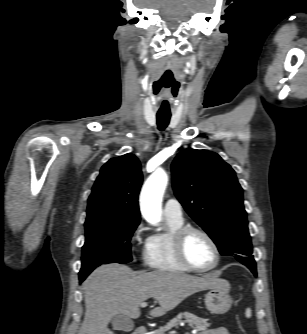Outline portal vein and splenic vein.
I'll return each mask as SVG.
<instances>
[{
	"instance_id": "obj_1",
	"label": "portal vein and splenic vein",
	"mask_w": 307,
	"mask_h": 334,
	"mask_svg": "<svg viewBox=\"0 0 307 334\" xmlns=\"http://www.w3.org/2000/svg\"><path fill=\"white\" fill-rule=\"evenodd\" d=\"M147 306V303L146 302H142L141 304H140V307H142V308H144V307H146ZM170 334H175L176 332L175 331H171V332H169Z\"/></svg>"
}]
</instances>
